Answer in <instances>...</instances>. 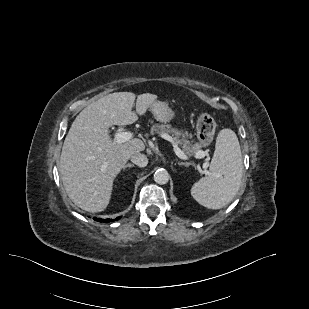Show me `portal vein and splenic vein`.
Instances as JSON below:
<instances>
[{
    "label": "portal vein and splenic vein",
    "instance_id": "18ae733b",
    "mask_svg": "<svg viewBox=\"0 0 309 309\" xmlns=\"http://www.w3.org/2000/svg\"><path fill=\"white\" fill-rule=\"evenodd\" d=\"M133 137V133L130 131H125V132H117L114 134V143H124L129 141L131 138ZM162 137L168 141H170L173 144V148H174V152L175 154L183 160H187L188 156L178 147V144L176 142H174L173 138L167 134H162ZM206 155V153L202 150L198 151L195 155L196 159H201L204 158ZM209 166V164L207 162H205L203 164V168H204V173L208 174L209 172L207 171V167Z\"/></svg>",
    "mask_w": 309,
    "mask_h": 309
}]
</instances>
